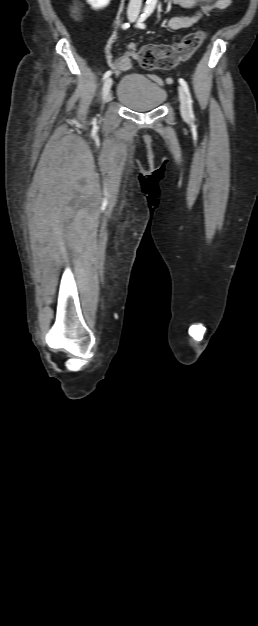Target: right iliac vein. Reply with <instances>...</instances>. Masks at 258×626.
<instances>
[{"instance_id":"63e3f726","label":"right iliac vein","mask_w":258,"mask_h":626,"mask_svg":"<svg viewBox=\"0 0 258 626\" xmlns=\"http://www.w3.org/2000/svg\"><path fill=\"white\" fill-rule=\"evenodd\" d=\"M113 84V80L111 77H108L103 84V102H106L109 99L110 90Z\"/></svg>"}]
</instances>
